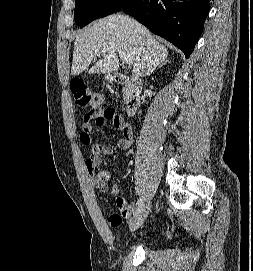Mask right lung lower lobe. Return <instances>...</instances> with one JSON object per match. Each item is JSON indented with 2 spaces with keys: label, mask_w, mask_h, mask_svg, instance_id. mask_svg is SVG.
I'll return each instance as SVG.
<instances>
[{
  "label": "right lung lower lobe",
  "mask_w": 253,
  "mask_h": 271,
  "mask_svg": "<svg viewBox=\"0 0 253 271\" xmlns=\"http://www.w3.org/2000/svg\"><path fill=\"white\" fill-rule=\"evenodd\" d=\"M188 58L209 12V0H127L121 8Z\"/></svg>",
  "instance_id": "98d812e1"
}]
</instances>
